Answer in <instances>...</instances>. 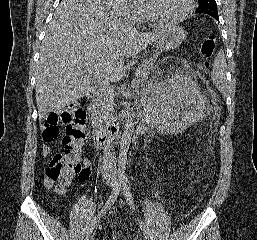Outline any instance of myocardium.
<instances>
[{
    "label": "myocardium",
    "instance_id": "f54148a6",
    "mask_svg": "<svg viewBox=\"0 0 257 240\" xmlns=\"http://www.w3.org/2000/svg\"><path fill=\"white\" fill-rule=\"evenodd\" d=\"M144 4L150 20L159 24H176L182 22L190 15L194 8V0H186V7L179 15L174 17H162L154 12L150 0H144Z\"/></svg>",
    "mask_w": 257,
    "mask_h": 240
}]
</instances>
